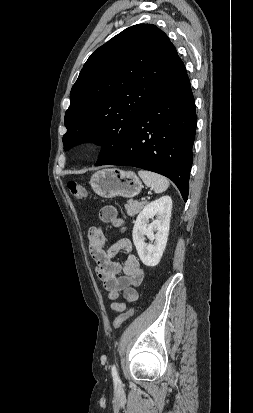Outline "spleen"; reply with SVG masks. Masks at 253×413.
<instances>
[{"instance_id": "obj_1", "label": "spleen", "mask_w": 253, "mask_h": 413, "mask_svg": "<svg viewBox=\"0 0 253 413\" xmlns=\"http://www.w3.org/2000/svg\"><path fill=\"white\" fill-rule=\"evenodd\" d=\"M138 175L143 180L144 184L151 187L155 193L166 191L170 185L169 180L166 177L151 171L139 170Z\"/></svg>"}]
</instances>
